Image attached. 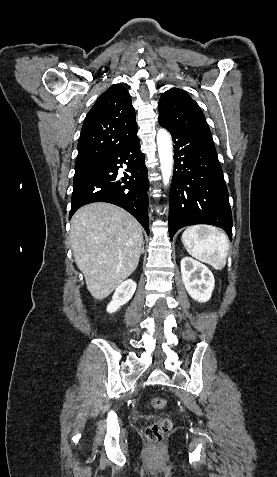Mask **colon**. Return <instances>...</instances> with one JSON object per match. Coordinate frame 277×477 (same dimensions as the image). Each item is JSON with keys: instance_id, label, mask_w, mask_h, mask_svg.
Instances as JSON below:
<instances>
[{"instance_id": "5ec220e1", "label": "colon", "mask_w": 277, "mask_h": 477, "mask_svg": "<svg viewBox=\"0 0 277 477\" xmlns=\"http://www.w3.org/2000/svg\"><path fill=\"white\" fill-rule=\"evenodd\" d=\"M166 405V400L161 397H155L150 401V406L154 409H162ZM171 428V421L168 418L154 422L145 430V437L154 449L158 448L165 435Z\"/></svg>"}]
</instances>
